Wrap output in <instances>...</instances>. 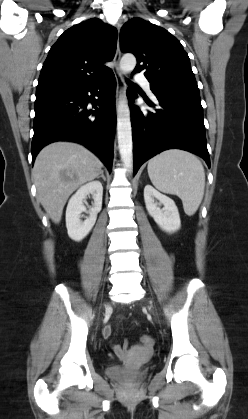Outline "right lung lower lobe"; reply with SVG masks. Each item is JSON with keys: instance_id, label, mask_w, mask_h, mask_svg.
Segmentation results:
<instances>
[{"instance_id": "obj_1", "label": "right lung lower lobe", "mask_w": 248, "mask_h": 419, "mask_svg": "<svg viewBox=\"0 0 248 419\" xmlns=\"http://www.w3.org/2000/svg\"><path fill=\"white\" fill-rule=\"evenodd\" d=\"M115 91L116 79L111 70L84 86L36 94L32 162L45 145L74 141L93 151L111 171ZM89 103L93 109L88 108Z\"/></svg>"}]
</instances>
